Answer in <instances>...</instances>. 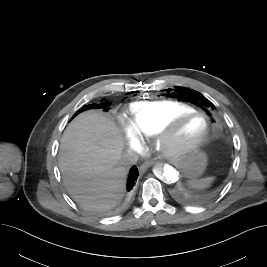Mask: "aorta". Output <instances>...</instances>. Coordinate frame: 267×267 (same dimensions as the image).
<instances>
[{"mask_svg": "<svg viewBox=\"0 0 267 267\" xmlns=\"http://www.w3.org/2000/svg\"><path fill=\"white\" fill-rule=\"evenodd\" d=\"M153 173L156 178L166 183H174L179 178L178 170L169 164L157 163L153 168Z\"/></svg>", "mask_w": 267, "mask_h": 267, "instance_id": "1", "label": "aorta"}]
</instances>
